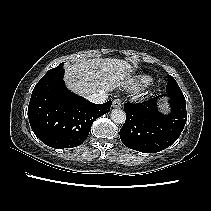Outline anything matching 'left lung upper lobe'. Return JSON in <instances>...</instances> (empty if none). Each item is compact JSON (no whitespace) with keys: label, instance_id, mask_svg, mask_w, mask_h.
<instances>
[{"label":"left lung upper lobe","instance_id":"obj_1","mask_svg":"<svg viewBox=\"0 0 211 211\" xmlns=\"http://www.w3.org/2000/svg\"><path fill=\"white\" fill-rule=\"evenodd\" d=\"M166 92L169 94L182 92L176 80L171 75H168V83L166 86Z\"/></svg>","mask_w":211,"mask_h":211}]
</instances>
